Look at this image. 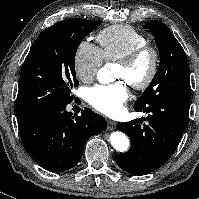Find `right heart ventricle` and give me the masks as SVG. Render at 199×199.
Segmentation results:
<instances>
[{
	"label": "right heart ventricle",
	"mask_w": 199,
	"mask_h": 199,
	"mask_svg": "<svg viewBox=\"0 0 199 199\" xmlns=\"http://www.w3.org/2000/svg\"><path fill=\"white\" fill-rule=\"evenodd\" d=\"M103 60L118 61L137 47L147 44V38L134 27L113 25L101 30L96 37Z\"/></svg>",
	"instance_id": "right-heart-ventricle-1"
}]
</instances>
